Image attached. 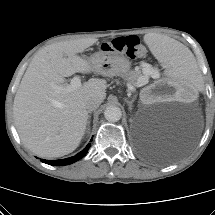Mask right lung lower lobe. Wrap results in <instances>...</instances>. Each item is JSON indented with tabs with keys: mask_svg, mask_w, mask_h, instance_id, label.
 <instances>
[{
	"mask_svg": "<svg viewBox=\"0 0 215 215\" xmlns=\"http://www.w3.org/2000/svg\"><path fill=\"white\" fill-rule=\"evenodd\" d=\"M89 147H90V143L81 152H79L78 154H76L73 157H69V158L61 159V160H44V159H42L41 161L46 164L54 165V166L69 165V164H72V163L78 161L83 156H85L86 153L88 152Z\"/></svg>",
	"mask_w": 215,
	"mask_h": 215,
	"instance_id": "right-lung-lower-lobe-1",
	"label": "right lung lower lobe"
}]
</instances>
